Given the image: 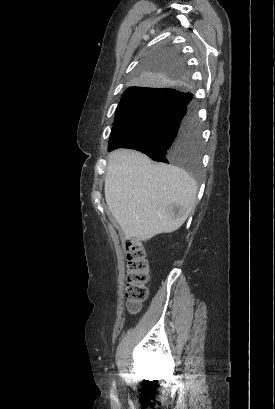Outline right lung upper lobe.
<instances>
[{"instance_id": "obj_1", "label": "right lung upper lobe", "mask_w": 275, "mask_h": 409, "mask_svg": "<svg viewBox=\"0 0 275 409\" xmlns=\"http://www.w3.org/2000/svg\"><path fill=\"white\" fill-rule=\"evenodd\" d=\"M152 91H160V90H136L135 87H130L128 88L125 93L123 94L121 100L131 94H135V93H142V92H152Z\"/></svg>"}]
</instances>
